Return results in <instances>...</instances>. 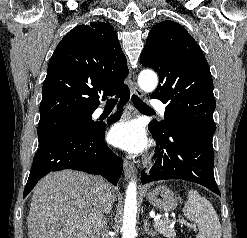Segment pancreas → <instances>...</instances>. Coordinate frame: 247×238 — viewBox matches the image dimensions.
<instances>
[{"instance_id":"pancreas-1","label":"pancreas","mask_w":247,"mask_h":238,"mask_svg":"<svg viewBox=\"0 0 247 238\" xmlns=\"http://www.w3.org/2000/svg\"><path fill=\"white\" fill-rule=\"evenodd\" d=\"M171 223V220H160L158 223H154L153 227L156 232L160 233L166 238H175L176 231L170 227Z\"/></svg>"}]
</instances>
